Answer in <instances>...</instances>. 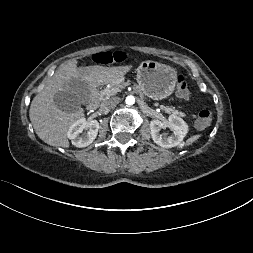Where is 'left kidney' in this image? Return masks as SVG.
I'll return each mask as SVG.
<instances>
[{"mask_svg": "<svg viewBox=\"0 0 253 253\" xmlns=\"http://www.w3.org/2000/svg\"><path fill=\"white\" fill-rule=\"evenodd\" d=\"M165 127H169L172 134L167 136L166 134H161L160 130ZM150 132L153 141L163 147L172 148L181 144L183 138L188 132V126L186 122L175 115H171L168 118V122H161L160 120H152L150 122Z\"/></svg>", "mask_w": 253, "mask_h": 253, "instance_id": "5707ae66", "label": "left kidney"}]
</instances>
